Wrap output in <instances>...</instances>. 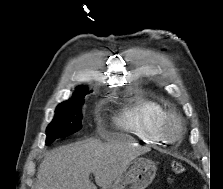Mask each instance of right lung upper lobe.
Returning <instances> with one entry per match:
<instances>
[{"label":"right lung upper lobe","mask_w":223,"mask_h":189,"mask_svg":"<svg viewBox=\"0 0 223 189\" xmlns=\"http://www.w3.org/2000/svg\"><path fill=\"white\" fill-rule=\"evenodd\" d=\"M87 92V88L85 87H80V88H77L75 93L73 95H78V94H82V93H86Z\"/></svg>","instance_id":"right-lung-upper-lobe-1"}]
</instances>
